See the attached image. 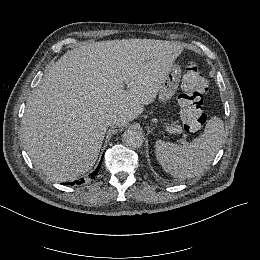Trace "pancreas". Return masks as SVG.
<instances>
[{"label": "pancreas", "mask_w": 260, "mask_h": 260, "mask_svg": "<svg viewBox=\"0 0 260 260\" xmlns=\"http://www.w3.org/2000/svg\"><path fill=\"white\" fill-rule=\"evenodd\" d=\"M171 125L174 126L178 131L182 132V127H181V125H177L176 122H172Z\"/></svg>", "instance_id": "1"}]
</instances>
